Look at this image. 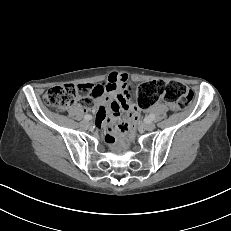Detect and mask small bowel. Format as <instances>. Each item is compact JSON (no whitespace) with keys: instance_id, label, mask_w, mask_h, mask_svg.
<instances>
[{"instance_id":"c3829d8e","label":"small bowel","mask_w":231,"mask_h":231,"mask_svg":"<svg viewBox=\"0 0 231 231\" xmlns=\"http://www.w3.org/2000/svg\"><path fill=\"white\" fill-rule=\"evenodd\" d=\"M90 88L91 99H98L102 105L97 111L96 123L99 129L106 126L107 121L113 123L120 111H133L136 109L131 102L127 88V76L120 73H112L108 79L100 84H85ZM106 104V107L103 105Z\"/></svg>"}]
</instances>
